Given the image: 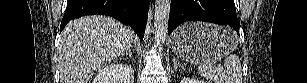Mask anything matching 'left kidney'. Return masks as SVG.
Segmentation results:
<instances>
[{"label":"left kidney","instance_id":"obj_1","mask_svg":"<svg viewBox=\"0 0 307 83\" xmlns=\"http://www.w3.org/2000/svg\"><path fill=\"white\" fill-rule=\"evenodd\" d=\"M181 83H206L205 81H201L195 78H190V77H184L181 80Z\"/></svg>","mask_w":307,"mask_h":83}]
</instances>
